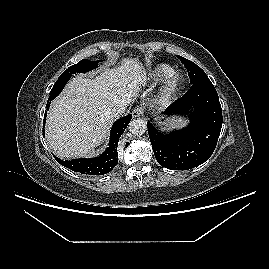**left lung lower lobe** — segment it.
<instances>
[{"mask_svg":"<svg viewBox=\"0 0 269 269\" xmlns=\"http://www.w3.org/2000/svg\"><path fill=\"white\" fill-rule=\"evenodd\" d=\"M192 108L193 112L190 111ZM165 114H187L190 124L166 135L147 122L159 164L171 170H188L207 161L217 145L223 120L218 94L209 78L193 83Z\"/></svg>","mask_w":269,"mask_h":269,"instance_id":"1","label":"left lung lower lobe"}]
</instances>
